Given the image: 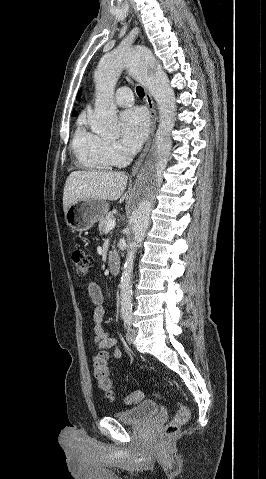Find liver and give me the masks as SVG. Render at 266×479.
<instances>
[{"label":"liver","instance_id":"1","mask_svg":"<svg viewBox=\"0 0 266 479\" xmlns=\"http://www.w3.org/2000/svg\"><path fill=\"white\" fill-rule=\"evenodd\" d=\"M128 177L117 171H73L66 179L63 191V210L81 199L110 200L122 203Z\"/></svg>","mask_w":266,"mask_h":479}]
</instances>
